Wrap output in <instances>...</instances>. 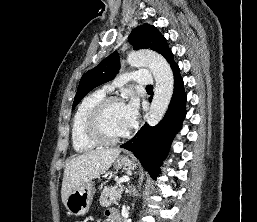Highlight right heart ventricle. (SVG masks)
Returning <instances> with one entry per match:
<instances>
[{"label":"right heart ventricle","instance_id":"e07e8e85","mask_svg":"<svg viewBox=\"0 0 257 222\" xmlns=\"http://www.w3.org/2000/svg\"><path fill=\"white\" fill-rule=\"evenodd\" d=\"M105 97L104 91L97 90L87 95L79 104L71 123V141L76 152L90 151L98 146L87 135L85 122L90 110Z\"/></svg>","mask_w":257,"mask_h":222}]
</instances>
